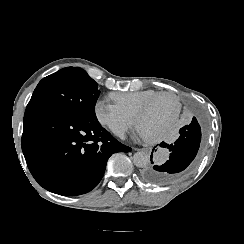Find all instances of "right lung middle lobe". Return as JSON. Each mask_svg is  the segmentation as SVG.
<instances>
[{
    "label": "right lung middle lobe",
    "mask_w": 244,
    "mask_h": 244,
    "mask_svg": "<svg viewBox=\"0 0 244 244\" xmlns=\"http://www.w3.org/2000/svg\"><path fill=\"white\" fill-rule=\"evenodd\" d=\"M97 83L82 68L67 67L43 78L26 108H50L72 116L97 120Z\"/></svg>",
    "instance_id": "dd1d6c3e"
}]
</instances>
